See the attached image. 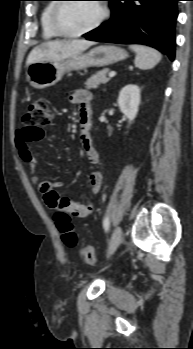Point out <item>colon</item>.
I'll list each match as a JSON object with an SVG mask.
<instances>
[{
	"instance_id": "5ec220e1",
	"label": "colon",
	"mask_w": 193,
	"mask_h": 349,
	"mask_svg": "<svg viewBox=\"0 0 193 349\" xmlns=\"http://www.w3.org/2000/svg\"><path fill=\"white\" fill-rule=\"evenodd\" d=\"M54 114L44 100L33 101L23 117L24 128L30 137L40 139L43 136L42 128L53 122ZM55 220L58 229L62 233L64 243L70 247L77 242L76 234L72 229V217L66 207H60L56 210ZM80 255L89 265H95L99 261V256L90 246H84L80 249Z\"/></svg>"
}]
</instances>
